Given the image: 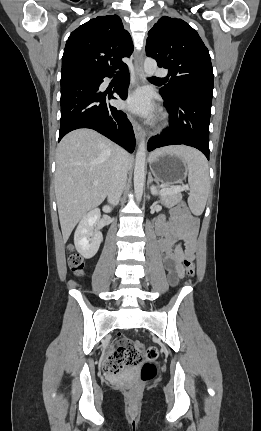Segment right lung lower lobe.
Returning <instances> with one entry per match:
<instances>
[{"label": "right lung lower lobe", "instance_id": "obj_1", "mask_svg": "<svg viewBox=\"0 0 261 431\" xmlns=\"http://www.w3.org/2000/svg\"><path fill=\"white\" fill-rule=\"evenodd\" d=\"M127 69V66L124 67ZM114 72L70 74L61 77L60 141L68 132L79 128L98 131L129 152L135 148V136L126 114L106 101L116 99L109 93L99 91L103 78ZM129 73L122 78L114 92L123 100L127 98Z\"/></svg>", "mask_w": 261, "mask_h": 431}]
</instances>
